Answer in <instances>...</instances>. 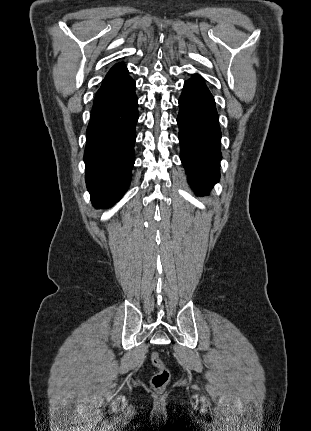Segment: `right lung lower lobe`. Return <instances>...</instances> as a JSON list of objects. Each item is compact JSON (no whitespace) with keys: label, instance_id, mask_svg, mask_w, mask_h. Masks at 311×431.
<instances>
[{"label":"right lung lower lobe","instance_id":"right-lung-lower-lobe-1","mask_svg":"<svg viewBox=\"0 0 311 431\" xmlns=\"http://www.w3.org/2000/svg\"><path fill=\"white\" fill-rule=\"evenodd\" d=\"M127 69L107 75L86 132V184L95 207H110L128 189L134 165L138 98Z\"/></svg>","mask_w":311,"mask_h":431}]
</instances>
